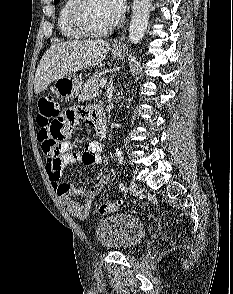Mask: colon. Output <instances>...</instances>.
<instances>
[{"instance_id": "obj_1", "label": "colon", "mask_w": 233, "mask_h": 294, "mask_svg": "<svg viewBox=\"0 0 233 294\" xmlns=\"http://www.w3.org/2000/svg\"><path fill=\"white\" fill-rule=\"evenodd\" d=\"M38 107L39 110L37 113L36 120L38 125L42 128L41 130H43V126H49L50 120H54V117H57V115L53 114V111L59 110V108L61 107L54 100V98L49 95L40 98ZM45 144H47V142ZM118 205V202L107 201L98 206L97 212L101 215L109 214L111 212H114L118 208Z\"/></svg>"}]
</instances>
